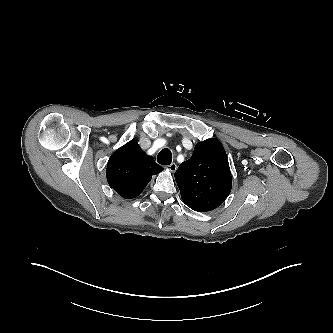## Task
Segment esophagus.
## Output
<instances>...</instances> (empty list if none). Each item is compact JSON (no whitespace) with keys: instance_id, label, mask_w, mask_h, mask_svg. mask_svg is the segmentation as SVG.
Wrapping results in <instances>:
<instances>
[{"instance_id":"34e87169","label":"esophagus","mask_w":333,"mask_h":333,"mask_svg":"<svg viewBox=\"0 0 333 333\" xmlns=\"http://www.w3.org/2000/svg\"><path fill=\"white\" fill-rule=\"evenodd\" d=\"M177 169V165L176 163H171L169 166H168V170H170L171 172H175Z\"/></svg>"}]
</instances>
